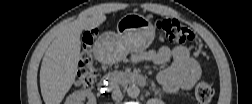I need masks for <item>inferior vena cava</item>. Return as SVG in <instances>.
<instances>
[{
	"mask_svg": "<svg viewBox=\"0 0 252 104\" xmlns=\"http://www.w3.org/2000/svg\"><path fill=\"white\" fill-rule=\"evenodd\" d=\"M112 99L117 103H119L123 99V95L120 89L116 88L113 90Z\"/></svg>",
	"mask_w": 252,
	"mask_h": 104,
	"instance_id": "obj_1",
	"label": "inferior vena cava"
}]
</instances>
